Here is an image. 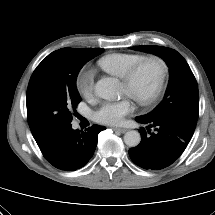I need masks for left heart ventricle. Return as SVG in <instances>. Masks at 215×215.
<instances>
[{
	"mask_svg": "<svg viewBox=\"0 0 215 215\" xmlns=\"http://www.w3.org/2000/svg\"><path fill=\"white\" fill-rule=\"evenodd\" d=\"M159 77V67L154 62L146 63L139 71L132 86L129 88L122 84V91L138 97H147L154 90Z\"/></svg>",
	"mask_w": 215,
	"mask_h": 215,
	"instance_id": "1",
	"label": "left heart ventricle"
}]
</instances>
